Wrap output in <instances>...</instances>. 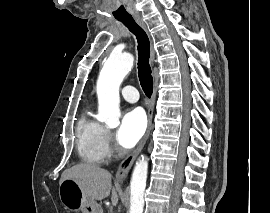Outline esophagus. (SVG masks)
<instances>
[{
    "label": "esophagus",
    "mask_w": 270,
    "mask_h": 213,
    "mask_svg": "<svg viewBox=\"0 0 270 213\" xmlns=\"http://www.w3.org/2000/svg\"><path fill=\"white\" fill-rule=\"evenodd\" d=\"M137 23L145 30L147 31L146 25L143 23L140 17H136ZM155 60V50L151 45V62L153 63ZM156 99V89L154 88L153 93H152V103L149 107L148 110V127L146 130L145 135L143 136L142 140L136 147V149L130 153L119 165L118 170L116 172V180L117 181H122L126 175L128 174L129 170L131 169L135 159L139 155V153L142 151L149 135L152 129V116H153V111H154V103Z\"/></svg>",
    "instance_id": "esophagus-1"
}]
</instances>
